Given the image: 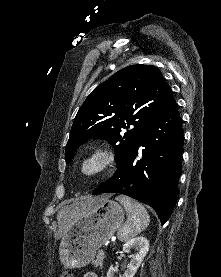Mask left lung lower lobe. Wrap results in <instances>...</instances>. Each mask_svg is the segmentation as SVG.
<instances>
[{"mask_svg": "<svg viewBox=\"0 0 221 277\" xmlns=\"http://www.w3.org/2000/svg\"><path fill=\"white\" fill-rule=\"evenodd\" d=\"M182 149L183 129L174 100L149 123L116 173L98 186L93 194L121 193L130 196L153 207L164 224L177 200Z\"/></svg>", "mask_w": 221, "mask_h": 277, "instance_id": "0a47b994", "label": "left lung lower lobe"}]
</instances>
